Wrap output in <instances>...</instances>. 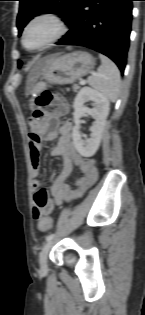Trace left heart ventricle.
<instances>
[{"label":"left heart ventricle","instance_id":"1","mask_svg":"<svg viewBox=\"0 0 145 315\" xmlns=\"http://www.w3.org/2000/svg\"><path fill=\"white\" fill-rule=\"evenodd\" d=\"M54 25L46 20L34 23L26 35V44L28 47H37L44 43L54 33Z\"/></svg>","mask_w":145,"mask_h":315}]
</instances>
